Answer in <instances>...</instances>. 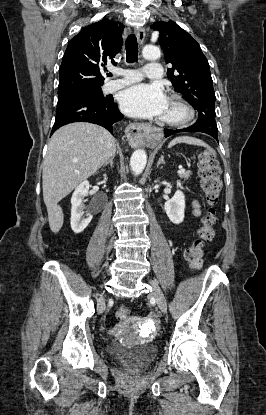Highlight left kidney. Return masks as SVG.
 I'll return each mask as SVG.
<instances>
[{"mask_svg": "<svg viewBox=\"0 0 266 415\" xmlns=\"http://www.w3.org/2000/svg\"><path fill=\"white\" fill-rule=\"evenodd\" d=\"M166 214L170 221L174 224H180L184 220L185 196L182 191L177 190L174 196L165 202Z\"/></svg>", "mask_w": 266, "mask_h": 415, "instance_id": "5707ae66", "label": "left kidney"}]
</instances>
